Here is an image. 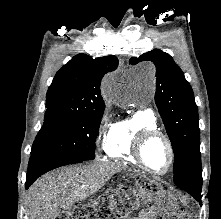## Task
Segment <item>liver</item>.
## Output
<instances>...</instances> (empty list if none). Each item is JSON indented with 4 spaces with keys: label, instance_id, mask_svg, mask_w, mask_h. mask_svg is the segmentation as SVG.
Segmentation results:
<instances>
[{
    "label": "liver",
    "instance_id": "liver-1",
    "mask_svg": "<svg viewBox=\"0 0 221 219\" xmlns=\"http://www.w3.org/2000/svg\"><path fill=\"white\" fill-rule=\"evenodd\" d=\"M125 169L120 163L100 161L48 173L29 188L26 213L29 219H56L62 209L92 196Z\"/></svg>",
    "mask_w": 221,
    "mask_h": 219
}]
</instances>
